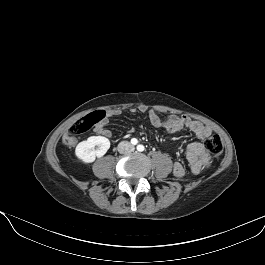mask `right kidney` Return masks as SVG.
Segmentation results:
<instances>
[{"mask_svg":"<svg viewBox=\"0 0 265 265\" xmlns=\"http://www.w3.org/2000/svg\"><path fill=\"white\" fill-rule=\"evenodd\" d=\"M98 147L95 150V147ZM110 148V141L103 136H91L80 142L75 149L77 158L84 163H92L96 157H103Z\"/></svg>","mask_w":265,"mask_h":265,"instance_id":"ca27d5eb","label":"right kidney"}]
</instances>
